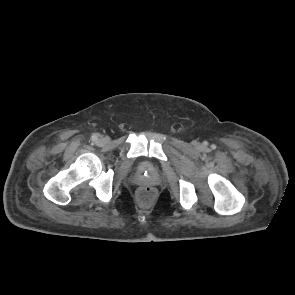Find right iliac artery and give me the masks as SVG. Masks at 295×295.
<instances>
[{
	"instance_id": "obj_1",
	"label": "right iliac artery",
	"mask_w": 295,
	"mask_h": 295,
	"mask_svg": "<svg viewBox=\"0 0 295 295\" xmlns=\"http://www.w3.org/2000/svg\"><path fill=\"white\" fill-rule=\"evenodd\" d=\"M97 135L96 134H94V135H92V137H91V139L93 140V141H96L97 140Z\"/></svg>"
}]
</instances>
